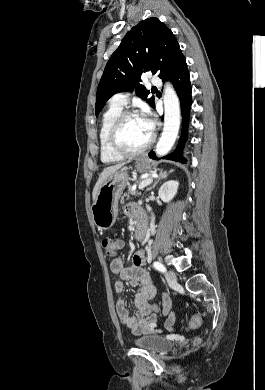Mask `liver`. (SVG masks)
I'll use <instances>...</instances> for the list:
<instances>
[{
  "label": "liver",
  "instance_id": "obj_1",
  "mask_svg": "<svg viewBox=\"0 0 265 390\" xmlns=\"http://www.w3.org/2000/svg\"><path fill=\"white\" fill-rule=\"evenodd\" d=\"M126 163H119V164H116V165H113V166H109L107 168H105L101 175L99 176L98 178V181L96 182L95 186H94V189H93V192H92V197H93V204L97 198V194H98V191L101 187V185L105 182V180L111 176L112 174H114L115 172H117L120 168H122Z\"/></svg>",
  "mask_w": 265,
  "mask_h": 390
}]
</instances>
